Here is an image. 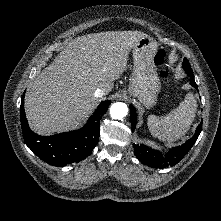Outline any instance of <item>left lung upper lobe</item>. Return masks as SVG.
<instances>
[{
    "mask_svg": "<svg viewBox=\"0 0 221 221\" xmlns=\"http://www.w3.org/2000/svg\"><path fill=\"white\" fill-rule=\"evenodd\" d=\"M182 65H183L184 69L191 68L190 65H189V62H188V60L186 58L183 60V64Z\"/></svg>",
    "mask_w": 221,
    "mask_h": 221,
    "instance_id": "obj_1",
    "label": "left lung upper lobe"
}]
</instances>
